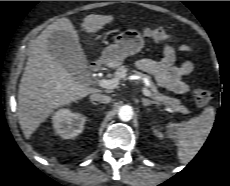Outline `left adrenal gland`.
I'll return each mask as SVG.
<instances>
[{"mask_svg":"<svg viewBox=\"0 0 230 186\" xmlns=\"http://www.w3.org/2000/svg\"><path fill=\"white\" fill-rule=\"evenodd\" d=\"M142 104L144 107H146V106H150L152 104H157V102L142 98Z\"/></svg>","mask_w":230,"mask_h":186,"instance_id":"1","label":"left adrenal gland"}]
</instances>
